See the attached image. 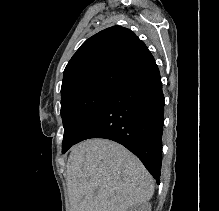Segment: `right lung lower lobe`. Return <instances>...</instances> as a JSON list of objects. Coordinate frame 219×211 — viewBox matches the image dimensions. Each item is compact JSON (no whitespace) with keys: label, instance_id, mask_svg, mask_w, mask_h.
<instances>
[{"label":"right lung lower lobe","instance_id":"98d812e1","mask_svg":"<svg viewBox=\"0 0 219 211\" xmlns=\"http://www.w3.org/2000/svg\"><path fill=\"white\" fill-rule=\"evenodd\" d=\"M163 122L162 82L153 61L112 89L74 144L90 138L116 141L134 153L159 184Z\"/></svg>","mask_w":219,"mask_h":211}]
</instances>
